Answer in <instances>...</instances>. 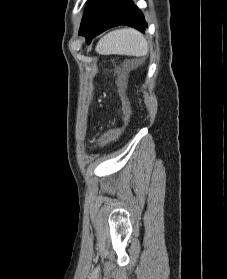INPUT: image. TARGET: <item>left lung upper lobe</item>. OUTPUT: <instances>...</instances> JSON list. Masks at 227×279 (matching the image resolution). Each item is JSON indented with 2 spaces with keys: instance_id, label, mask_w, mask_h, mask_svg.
I'll use <instances>...</instances> for the list:
<instances>
[{
  "instance_id": "1",
  "label": "left lung upper lobe",
  "mask_w": 227,
  "mask_h": 279,
  "mask_svg": "<svg viewBox=\"0 0 227 279\" xmlns=\"http://www.w3.org/2000/svg\"><path fill=\"white\" fill-rule=\"evenodd\" d=\"M92 2H93V0H88V2H87V6H86V9H85V11H84V15H83V19H82L81 26H82V24H83V21H84V19H85L86 13H87V11H88V9H89V7H90V5H91Z\"/></svg>"
}]
</instances>
